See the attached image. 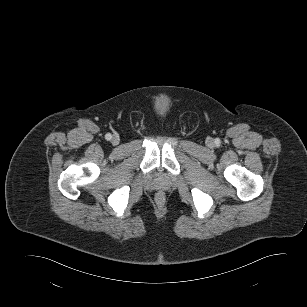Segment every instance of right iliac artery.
Returning a JSON list of instances; mask_svg holds the SVG:
<instances>
[{
	"mask_svg": "<svg viewBox=\"0 0 307 307\" xmlns=\"http://www.w3.org/2000/svg\"><path fill=\"white\" fill-rule=\"evenodd\" d=\"M105 138H106L107 140H110V139L112 138V136H111L110 133H108V134L105 135Z\"/></svg>",
	"mask_w": 307,
	"mask_h": 307,
	"instance_id": "1",
	"label": "right iliac artery"
}]
</instances>
